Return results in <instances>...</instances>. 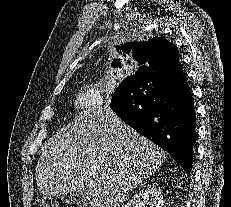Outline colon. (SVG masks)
I'll use <instances>...</instances> for the list:
<instances>
[{
  "label": "colon",
  "instance_id": "colon-1",
  "mask_svg": "<svg viewBox=\"0 0 231 207\" xmlns=\"http://www.w3.org/2000/svg\"><path fill=\"white\" fill-rule=\"evenodd\" d=\"M33 207H79V205L66 199L58 198L37 200Z\"/></svg>",
  "mask_w": 231,
  "mask_h": 207
}]
</instances>
